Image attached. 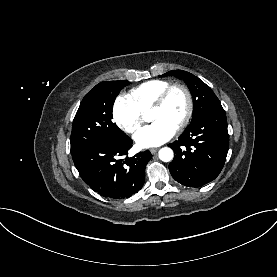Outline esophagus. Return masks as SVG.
Masks as SVG:
<instances>
[{
	"instance_id": "1",
	"label": "esophagus",
	"mask_w": 277,
	"mask_h": 277,
	"mask_svg": "<svg viewBox=\"0 0 277 277\" xmlns=\"http://www.w3.org/2000/svg\"><path fill=\"white\" fill-rule=\"evenodd\" d=\"M157 151H158V148H151V149H150V152H151L152 154H155Z\"/></svg>"
}]
</instances>
